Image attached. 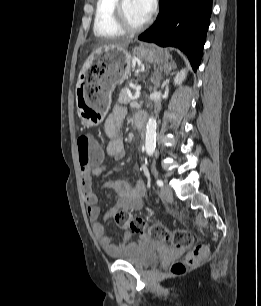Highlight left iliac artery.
Here are the masks:
<instances>
[{
	"label": "left iliac artery",
	"instance_id": "44dca946",
	"mask_svg": "<svg viewBox=\"0 0 261 306\" xmlns=\"http://www.w3.org/2000/svg\"><path fill=\"white\" fill-rule=\"evenodd\" d=\"M156 183L159 187L163 186V181L161 179H158Z\"/></svg>",
	"mask_w": 261,
	"mask_h": 306
}]
</instances>
